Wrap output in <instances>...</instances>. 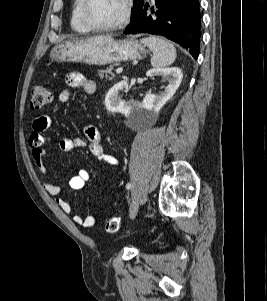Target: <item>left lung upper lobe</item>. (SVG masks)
<instances>
[{
    "label": "left lung upper lobe",
    "mask_w": 267,
    "mask_h": 301,
    "mask_svg": "<svg viewBox=\"0 0 267 301\" xmlns=\"http://www.w3.org/2000/svg\"><path fill=\"white\" fill-rule=\"evenodd\" d=\"M134 7L131 11V19L138 13L141 9L142 5L144 4V0H133Z\"/></svg>",
    "instance_id": "left-lung-upper-lobe-1"
}]
</instances>
